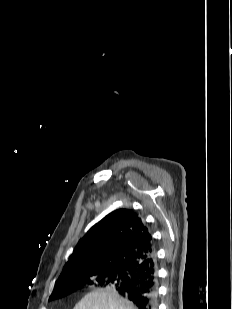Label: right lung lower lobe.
<instances>
[{"mask_svg": "<svg viewBox=\"0 0 232 309\" xmlns=\"http://www.w3.org/2000/svg\"><path fill=\"white\" fill-rule=\"evenodd\" d=\"M129 280L115 289L138 309H158L155 255L128 270Z\"/></svg>", "mask_w": 232, "mask_h": 309, "instance_id": "1", "label": "right lung lower lobe"}]
</instances>
